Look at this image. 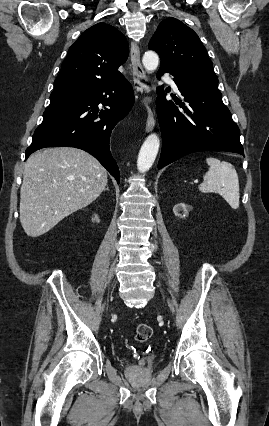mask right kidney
Masks as SVG:
<instances>
[{"instance_id":"ca27d5eb","label":"right kidney","mask_w":269,"mask_h":426,"mask_svg":"<svg viewBox=\"0 0 269 426\" xmlns=\"http://www.w3.org/2000/svg\"><path fill=\"white\" fill-rule=\"evenodd\" d=\"M95 219H97V220H98V216H97V215H95ZM91 223H92L93 225H96L98 222H97L96 220H93Z\"/></svg>"}]
</instances>
